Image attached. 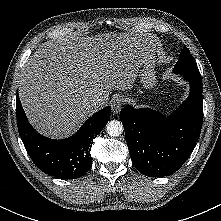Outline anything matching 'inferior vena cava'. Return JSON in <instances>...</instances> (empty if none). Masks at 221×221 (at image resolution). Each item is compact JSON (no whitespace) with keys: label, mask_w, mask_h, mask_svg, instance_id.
<instances>
[{"label":"inferior vena cava","mask_w":221,"mask_h":221,"mask_svg":"<svg viewBox=\"0 0 221 221\" xmlns=\"http://www.w3.org/2000/svg\"><path fill=\"white\" fill-rule=\"evenodd\" d=\"M89 104L92 107L98 108L102 106V101L99 98H95V99L90 100Z\"/></svg>","instance_id":"inferior-vena-cava-1"}]
</instances>
